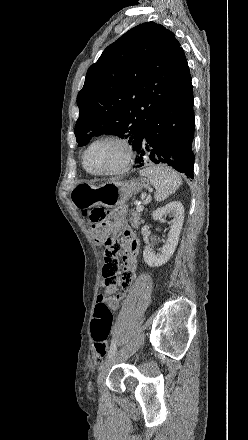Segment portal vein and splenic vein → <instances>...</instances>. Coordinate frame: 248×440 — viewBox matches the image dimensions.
I'll use <instances>...</instances> for the list:
<instances>
[{"mask_svg": "<svg viewBox=\"0 0 248 440\" xmlns=\"http://www.w3.org/2000/svg\"><path fill=\"white\" fill-rule=\"evenodd\" d=\"M136 209H137L138 211H143V206H142L141 204H138L137 207H136Z\"/></svg>", "mask_w": 248, "mask_h": 440, "instance_id": "obj_1", "label": "portal vein and splenic vein"}]
</instances>
